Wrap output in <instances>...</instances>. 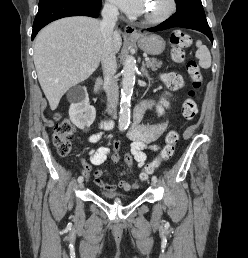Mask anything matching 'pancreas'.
<instances>
[{
    "instance_id": "1",
    "label": "pancreas",
    "mask_w": 248,
    "mask_h": 258,
    "mask_svg": "<svg viewBox=\"0 0 248 258\" xmlns=\"http://www.w3.org/2000/svg\"><path fill=\"white\" fill-rule=\"evenodd\" d=\"M147 67L156 71L158 68L161 67L162 62L157 60L156 58H151L149 61L146 62Z\"/></svg>"
}]
</instances>
